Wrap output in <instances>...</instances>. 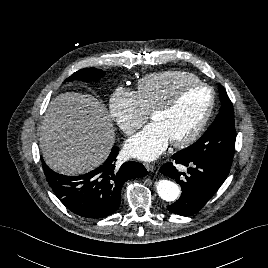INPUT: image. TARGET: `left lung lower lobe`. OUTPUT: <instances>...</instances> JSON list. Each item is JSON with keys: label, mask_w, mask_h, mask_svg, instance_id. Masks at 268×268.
Here are the masks:
<instances>
[{"label": "left lung lower lobe", "mask_w": 268, "mask_h": 268, "mask_svg": "<svg viewBox=\"0 0 268 268\" xmlns=\"http://www.w3.org/2000/svg\"><path fill=\"white\" fill-rule=\"evenodd\" d=\"M173 159L177 164L187 166L188 174L178 172L172 163H166L160 168L162 174L175 179L182 188L179 200L167 208L173 213L190 216L201 210L215 194L228 176L230 168L215 161L186 159L177 154L173 155Z\"/></svg>", "instance_id": "1"}]
</instances>
